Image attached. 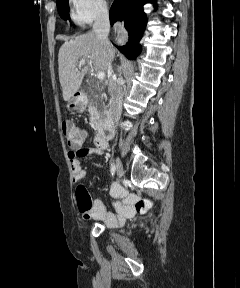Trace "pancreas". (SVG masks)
Returning a JSON list of instances; mask_svg holds the SVG:
<instances>
[{
  "label": "pancreas",
  "instance_id": "obj_1",
  "mask_svg": "<svg viewBox=\"0 0 240 288\" xmlns=\"http://www.w3.org/2000/svg\"><path fill=\"white\" fill-rule=\"evenodd\" d=\"M97 89L101 91L103 89V84L101 82L97 83ZM91 119H95L98 117V112L95 106L91 107L89 110Z\"/></svg>",
  "mask_w": 240,
  "mask_h": 288
}]
</instances>
